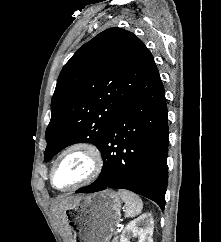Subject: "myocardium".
Wrapping results in <instances>:
<instances>
[{
    "instance_id": "1",
    "label": "myocardium",
    "mask_w": 221,
    "mask_h": 242,
    "mask_svg": "<svg viewBox=\"0 0 221 242\" xmlns=\"http://www.w3.org/2000/svg\"><path fill=\"white\" fill-rule=\"evenodd\" d=\"M84 151L91 161V169L89 174L84 177L79 182L75 183L74 185L67 187V188H59L54 184V171L58 164V162L69 152L71 151ZM103 168V156L100 151V149L93 143L88 141H76L69 145H67L65 148H63L58 155L53 160L51 167H50V173H49V179L51 186L59 191H72L75 189H78L82 186H85L91 182H93L101 173Z\"/></svg>"
}]
</instances>
